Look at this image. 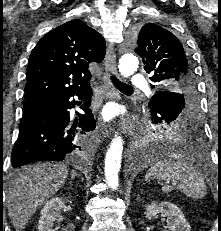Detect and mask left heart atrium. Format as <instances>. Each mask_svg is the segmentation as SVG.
Masks as SVG:
<instances>
[{"mask_svg": "<svg viewBox=\"0 0 221 231\" xmlns=\"http://www.w3.org/2000/svg\"><path fill=\"white\" fill-rule=\"evenodd\" d=\"M104 115H105V117H106L107 119H111L112 116H113L112 110L109 109V108L106 109Z\"/></svg>", "mask_w": 221, "mask_h": 231, "instance_id": "39dd6f15", "label": "left heart atrium"}]
</instances>
